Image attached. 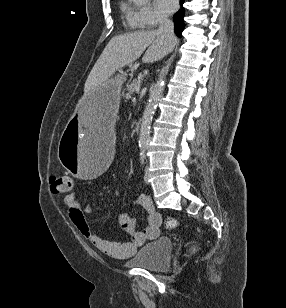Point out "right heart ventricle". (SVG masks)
Listing matches in <instances>:
<instances>
[{
    "label": "right heart ventricle",
    "mask_w": 286,
    "mask_h": 308,
    "mask_svg": "<svg viewBox=\"0 0 286 308\" xmlns=\"http://www.w3.org/2000/svg\"><path fill=\"white\" fill-rule=\"evenodd\" d=\"M121 10L126 18L127 23L132 27L135 26L133 23L132 12L130 11V8L126 4L123 3L121 5Z\"/></svg>",
    "instance_id": "1"
}]
</instances>
